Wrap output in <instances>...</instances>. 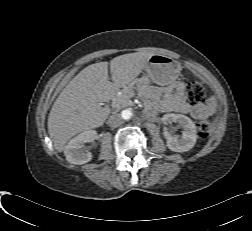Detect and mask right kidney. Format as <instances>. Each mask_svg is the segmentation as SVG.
I'll use <instances>...</instances> for the list:
<instances>
[{"instance_id":"right-kidney-1","label":"right kidney","mask_w":252,"mask_h":231,"mask_svg":"<svg viewBox=\"0 0 252 231\" xmlns=\"http://www.w3.org/2000/svg\"><path fill=\"white\" fill-rule=\"evenodd\" d=\"M96 134V131L88 130L71 139L64 150L67 161L77 165L91 161L93 155L85 149L84 145L94 140Z\"/></svg>"}]
</instances>
